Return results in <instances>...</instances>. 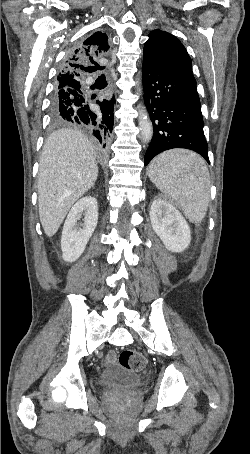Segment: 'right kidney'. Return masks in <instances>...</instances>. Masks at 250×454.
Here are the masks:
<instances>
[{
  "label": "right kidney",
  "instance_id": "ca27d5eb",
  "mask_svg": "<svg viewBox=\"0 0 250 454\" xmlns=\"http://www.w3.org/2000/svg\"><path fill=\"white\" fill-rule=\"evenodd\" d=\"M84 215L83 223H78ZM98 222L97 200L85 196L71 208L63 226L61 250L66 262L76 261L84 252Z\"/></svg>",
  "mask_w": 250,
  "mask_h": 454
}]
</instances>
